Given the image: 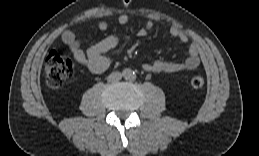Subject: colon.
<instances>
[{
    "label": "colon",
    "instance_id": "1",
    "mask_svg": "<svg viewBox=\"0 0 259 156\" xmlns=\"http://www.w3.org/2000/svg\"><path fill=\"white\" fill-rule=\"evenodd\" d=\"M73 72V63L71 59L57 51H50L44 60V75L47 85L56 89L71 76ZM205 84V78L202 75L194 76L190 81L193 89L201 88Z\"/></svg>",
    "mask_w": 259,
    "mask_h": 156
}]
</instances>
